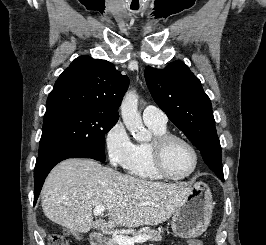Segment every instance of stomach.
I'll use <instances>...</instances> for the list:
<instances>
[{
  "mask_svg": "<svg viewBox=\"0 0 266 245\" xmlns=\"http://www.w3.org/2000/svg\"><path fill=\"white\" fill-rule=\"evenodd\" d=\"M213 213L212 193L202 181L193 183L187 201L173 213L171 229L175 237L194 239L205 233Z\"/></svg>",
  "mask_w": 266,
  "mask_h": 245,
  "instance_id": "obj_1",
  "label": "stomach"
}]
</instances>
